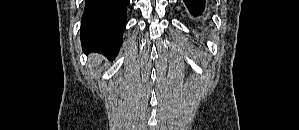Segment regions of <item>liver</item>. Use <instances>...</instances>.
Instances as JSON below:
<instances>
[{
  "mask_svg": "<svg viewBox=\"0 0 299 130\" xmlns=\"http://www.w3.org/2000/svg\"><path fill=\"white\" fill-rule=\"evenodd\" d=\"M91 60L94 62V65L96 66L98 63L101 62L102 58L99 57L98 55H92Z\"/></svg>",
  "mask_w": 299,
  "mask_h": 130,
  "instance_id": "liver-1",
  "label": "liver"
}]
</instances>
